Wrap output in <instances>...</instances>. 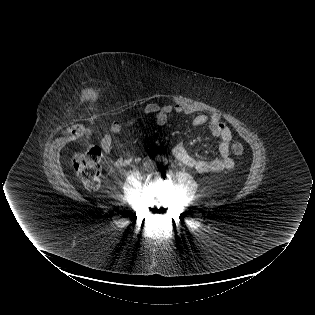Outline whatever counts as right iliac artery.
Masks as SVG:
<instances>
[{
  "instance_id": "82829eb1",
  "label": "right iliac artery",
  "mask_w": 315,
  "mask_h": 315,
  "mask_svg": "<svg viewBox=\"0 0 315 315\" xmlns=\"http://www.w3.org/2000/svg\"><path fill=\"white\" fill-rule=\"evenodd\" d=\"M161 161V159L160 158H157V162H160Z\"/></svg>"
}]
</instances>
